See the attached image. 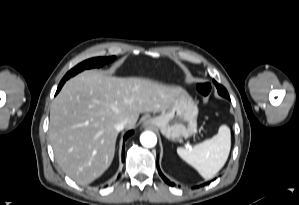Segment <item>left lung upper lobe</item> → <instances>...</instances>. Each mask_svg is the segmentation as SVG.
Listing matches in <instances>:
<instances>
[{
  "instance_id": "left-lung-upper-lobe-1",
  "label": "left lung upper lobe",
  "mask_w": 299,
  "mask_h": 205,
  "mask_svg": "<svg viewBox=\"0 0 299 205\" xmlns=\"http://www.w3.org/2000/svg\"><path fill=\"white\" fill-rule=\"evenodd\" d=\"M214 83H215V85H216V87L218 89V93L221 96H223V97L229 96L227 90L222 85L218 84L216 81H214Z\"/></svg>"
}]
</instances>
